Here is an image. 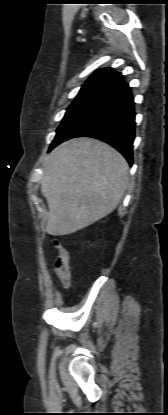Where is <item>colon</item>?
Wrapping results in <instances>:
<instances>
[{
	"label": "colon",
	"mask_w": 168,
	"mask_h": 415,
	"mask_svg": "<svg viewBox=\"0 0 168 415\" xmlns=\"http://www.w3.org/2000/svg\"><path fill=\"white\" fill-rule=\"evenodd\" d=\"M54 244L58 252L55 274L61 285L66 288L70 282L69 256L63 244L58 239L54 240Z\"/></svg>",
	"instance_id": "1"
}]
</instances>
